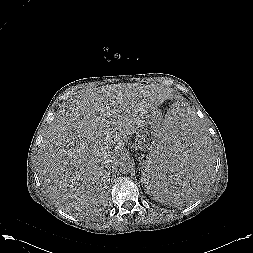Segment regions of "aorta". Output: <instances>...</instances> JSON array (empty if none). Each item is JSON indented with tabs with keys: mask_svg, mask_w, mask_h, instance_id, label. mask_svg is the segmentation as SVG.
Listing matches in <instances>:
<instances>
[{
	"mask_svg": "<svg viewBox=\"0 0 253 253\" xmlns=\"http://www.w3.org/2000/svg\"><path fill=\"white\" fill-rule=\"evenodd\" d=\"M135 169L134 160L130 157H123L119 162V171L122 174H129Z\"/></svg>",
	"mask_w": 253,
	"mask_h": 253,
	"instance_id": "762f6f07",
	"label": "aorta"
}]
</instances>
